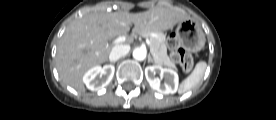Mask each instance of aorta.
<instances>
[{
    "label": "aorta",
    "instance_id": "aorta-1",
    "mask_svg": "<svg viewBox=\"0 0 276 120\" xmlns=\"http://www.w3.org/2000/svg\"><path fill=\"white\" fill-rule=\"evenodd\" d=\"M146 50L144 48L138 47L133 50V58L138 61H143L146 58Z\"/></svg>",
    "mask_w": 276,
    "mask_h": 120
}]
</instances>
